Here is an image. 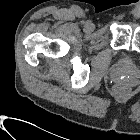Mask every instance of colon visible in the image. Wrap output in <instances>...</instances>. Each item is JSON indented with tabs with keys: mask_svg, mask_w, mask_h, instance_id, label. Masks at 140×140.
Listing matches in <instances>:
<instances>
[{
	"mask_svg": "<svg viewBox=\"0 0 140 140\" xmlns=\"http://www.w3.org/2000/svg\"><path fill=\"white\" fill-rule=\"evenodd\" d=\"M113 92L119 97H124L130 93V87L128 84L121 82L115 85Z\"/></svg>",
	"mask_w": 140,
	"mask_h": 140,
	"instance_id": "colon-1",
	"label": "colon"
}]
</instances>
